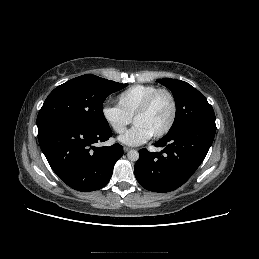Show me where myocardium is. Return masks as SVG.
Wrapping results in <instances>:
<instances>
[{
	"instance_id": "f54148a6",
	"label": "myocardium",
	"mask_w": 259,
	"mask_h": 259,
	"mask_svg": "<svg viewBox=\"0 0 259 259\" xmlns=\"http://www.w3.org/2000/svg\"><path fill=\"white\" fill-rule=\"evenodd\" d=\"M160 94H166L170 100H171V103H172V114H171V118L168 122V124L162 129L160 130L159 132L155 133L154 135H152L153 138H161L163 137L164 135H166L173 127L175 121H176V118H177V112H178V105H177V100H176V97L174 96V94L168 90V89H165V88H160L158 90H156L155 92H153L152 94H150L145 100L144 102L142 103V105L139 107V109L135 112L134 116H133V122H135V120L146 114L151 105L153 104L154 100L160 95Z\"/></svg>"
}]
</instances>
